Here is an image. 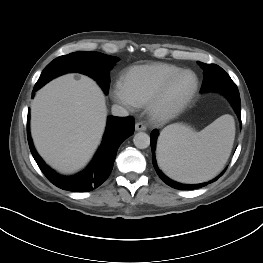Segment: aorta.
<instances>
[{
    "mask_svg": "<svg viewBox=\"0 0 263 263\" xmlns=\"http://www.w3.org/2000/svg\"><path fill=\"white\" fill-rule=\"evenodd\" d=\"M134 145L139 149H145L150 145V137L145 132L136 133L133 138Z\"/></svg>",
    "mask_w": 263,
    "mask_h": 263,
    "instance_id": "762f6f07",
    "label": "aorta"
}]
</instances>
